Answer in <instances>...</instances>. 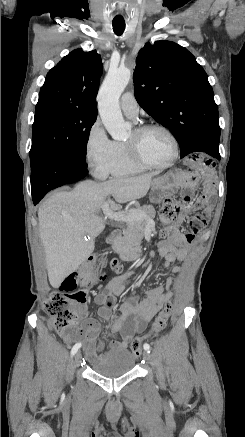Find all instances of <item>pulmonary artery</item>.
Wrapping results in <instances>:
<instances>
[{"label":"pulmonary artery","mask_w":245,"mask_h":437,"mask_svg":"<svg viewBox=\"0 0 245 437\" xmlns=\"http://www.w3.org/2000/svg\"><path fill=\"white\" fill-rule=\"evenodd\" d=\"M120 107L124 114L130 118H136L139 112V107L136 99L131 92H126L120 100Z\"/></svg>","instance_id":"pulmonary-artery-1"}]
</instances>
